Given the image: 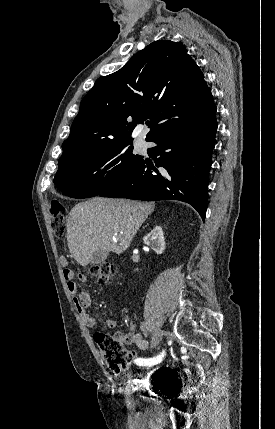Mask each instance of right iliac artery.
<instances>
[{"label":"right iliac artery","instance_id":"right-iliac-artery-1","mask_svg":"<svg viewBox=\"0 0 275 429\" xmlns=\"http://www.w3.org/2000/svg\"><path fill=\"white\" fill-rule=\"evenodd\" d=\"M164 355H165V352L163 351L158 356H155L153 358H136L135 363L139 366L150 367V366H153V365L160 363L162 361V359L164 358Z\"/></svg>","mask_w":275,"mask_h":429}]
</instances>
